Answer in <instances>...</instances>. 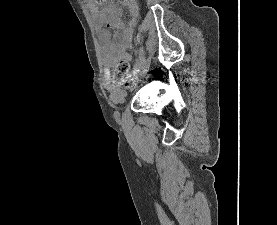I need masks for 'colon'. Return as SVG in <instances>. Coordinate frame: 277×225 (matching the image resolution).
<instances>
[{
    "mask_svg": "<svg viewBox=\"0 0 277 225\" xmlns=\"http://www.w3.org/2000/svg\"><path fill=\"white\" fill-rule=\"evenodd\" d=\"M113 78L119 84L128 85L131 83L130 65L126 61H121L115 68Z\"/></svg>",
    "mask_w": 277,
    "mask_h": 225,
    "instance_id": "colon-1",
    "label": "colon"
}]
</instances>
